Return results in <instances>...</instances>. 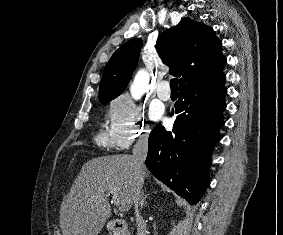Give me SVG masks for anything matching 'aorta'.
I'll list each match as a JSON object with an SVG mask.
<instances>
[{"label":"aorta","instance_id":"1","mask_svg":"<svg viewBox=\"0 0 283 235\" xmlns=\"http://www.w3.org/2000/svg\"><path fill=\"white\" fill-rule=\"evenodd\" d=\"M149 86V75L145 70H139L130 87L131 95L134 99H139Z\"/></svg>","mask_w":283,"mask_h":235}]
</instances>
